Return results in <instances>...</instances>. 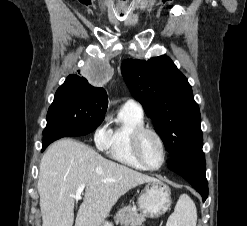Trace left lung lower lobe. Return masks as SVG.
<instances>
[{"label":"left lung lower lobe","instance_id":"1","mask_svg":"<svg viewBox=\"0 0 247 226\" xmlns=\"http://www.w3.org/2000/svg\"><path fill=\"white\" fill-rule=\"evenodd\" d=\"M168 168L185 178L202 196H208V183L205 176V156L202 147L171 157Z\"/></svg>","mask_w":247,"mask_h":226}]
</instances>
